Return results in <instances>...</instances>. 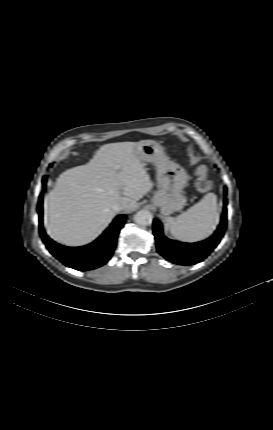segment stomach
I'll return each mask as SVG.
<instances>
[{"instance_id":"stomach-1","label":"stomach","mask_w":273,"mask_h":430,"mask_svg":"<svg viewBox=\"0 0 273 430\" xmlns=\"http://www.w3.org/2000/svg\"><path fill=\"white\" fill-rule=\"evenodd\" d=\"M136 156L141 163L150 162L157 167L158 190L152 197L153 205L163 215L179 211L185 205L183 189L187 185V173L177 163L170 161L163 147L153 140H142L136 147Z\"/></svg>"}]
</instances>
